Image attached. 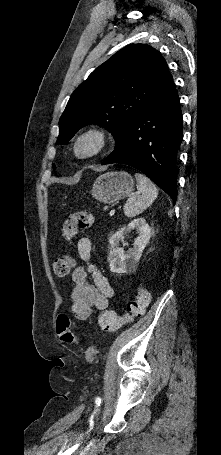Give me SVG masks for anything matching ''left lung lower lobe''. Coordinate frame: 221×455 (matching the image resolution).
<instances>
[{
	"label": "left lung lower lobe",
	"mask_w": 221,
	"mask_h": 455,
	"mask_svg": "<svg viewBox=\"0 0 221 455\" xmlns=\"http://www.w3.org/2000/svg\"><path fill=\"white\" fill-rule=\"evenodd\" d=\"M182 134L180 102L171 77L162 92L133 120L102 165L123 163L140 170L175 202L177 152Z\"/></svg>",
	"instance_id": "0a47b994"
}]
</instances>
